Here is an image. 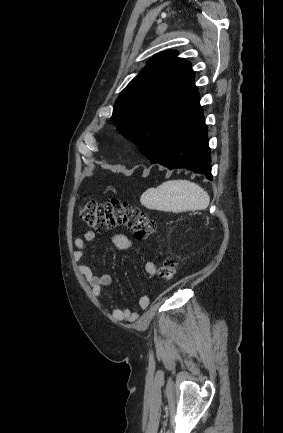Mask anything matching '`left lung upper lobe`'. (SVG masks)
Masks as SVG:
<instances>
[{"instance_id": "left-lung-upper-lobe-1", "label": "left lung upper lobe", "mask_w": 283, "mask_h": 433, "mask_svg": "<svg viewBox=\"0 0 283 433\" xmlns=\"http://www.w3.org/2000/svg\"><path fill=\"white\" fill-rule=\"evenodd\" d=\"M191 63L174 51L155 55L121 92L112 120L138 147L155 125H176L201 112Z\"/></svg>"}]
</instances>
